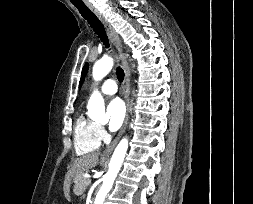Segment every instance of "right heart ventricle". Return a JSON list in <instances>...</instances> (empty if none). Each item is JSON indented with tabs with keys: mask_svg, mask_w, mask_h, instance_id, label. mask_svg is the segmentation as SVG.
<instances>
[{
	"mask_svg": "<svg viewBox=\"0 0 253 204\" xmlns=\"http://www.w3.org/2000/svg\"><path fill=\"white\" fill-rule=\"evenodd\" d=\"M100 146L97 125L81 114L74 125V147L78 155L96 151Z\"/></svg>",
	"mask_w": 253,
	"mask_h": 204,
	"instance_id": "right-heart-ventricle-1",
	"label": "right heart ventricle"
}]
</instances>
